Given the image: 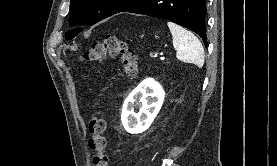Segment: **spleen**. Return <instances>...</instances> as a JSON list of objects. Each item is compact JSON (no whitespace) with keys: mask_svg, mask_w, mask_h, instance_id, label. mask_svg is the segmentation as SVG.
Instances as JSON below:
<instances>
[{"mask_svg":"<svg viewBox=\"0 0 277 166\" xmlns=\"http://www.w3.org/2000/svg\"><path fill=\"white\" fill-rule=\"evenodd\" d=\"M172 37L173 47L178 60L193 63L199 68L204 65V49L199 39L187 29L169 21L167 23Z\"/></svg>","mask_w":277,"mask_h":166,"instance_id":"1","label":"spleen"}]
</instances>
